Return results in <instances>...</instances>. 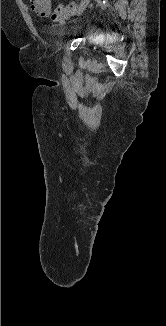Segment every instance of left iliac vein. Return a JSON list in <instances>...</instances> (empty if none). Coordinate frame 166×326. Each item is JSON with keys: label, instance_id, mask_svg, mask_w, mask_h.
Returning a JSON list of instances; mask_svg holds the SVG:
<instances>
[{"label": "left iliac vein", "instance_id": "obj_1", "mask_svg": "<svg viewBox=\"0 0 166 326\" xmlns=\"http://www.w3.org/2000/svg\"><path fill=\"white\" fill-rule=\"evenodd\" d=\"M90 0H82L78 9H77V16H80L84 10L86 9L88 3H89Z\"/></svg>", "mask_w": 166, "mask_h": 326}]
</instances>
